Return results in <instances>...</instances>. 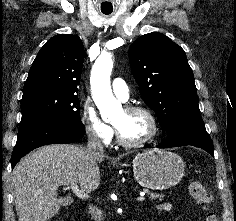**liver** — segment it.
I'll list each match as a JSON object with an SVG mask.
<instances>
[{
  "instance_id": "obj_1",
  "label": "liver",
  "mask_w": 236,
  "mask_h": 221,
  "mask_svg": "<svg viewBox=\"0 0 236 221\" xmlns=\"http://www.w3.org/2000/svg\"><path fill=\"white\" fill-rule=\"evenodd\" d=\"M82 147L54 144L39 148L19 161L13 170V196L19 221H48L60 210L58 188L79 184L89 193L100 184L98 163Z\"/></svg>"
}]
</instances>
